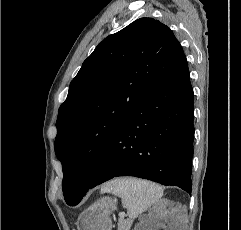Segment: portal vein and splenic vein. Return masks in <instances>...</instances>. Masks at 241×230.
Wrapping results in <instances>:
<instances>
[{"label": "portal vein and splenic vein", "instance_id": "1", "mask_svg": "<svg viewBox=\"0 0 241 230\" xmlns=\"http://www.w3.org/2000/svg\"><path fill=\"white\" fill-rule=\"evenodd\" d=\"M119 217H120V220L124 219L125 213H120V214H119Z\"/></svg>", "mask_w": 241, "mask_h": 230}]
</instances>
